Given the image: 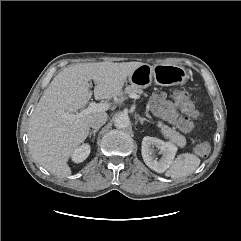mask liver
Masks as SVG:
<instances>
[{"mask_svg":"<svg viewBox=\"0 0 241 241\" xmlns=\"http://www.w3.org/2000/svg\"><path fill=\"white\" fill-rule=\"evenodd\" d=\"M142 62L80 63L63 69L49 84L29 120V150L36 163L58 177L71 174L68 160L89 134L95 112L69 119L85 107L92 96L89 80L95 83L96 100L120 96L127 78Z\"/></svg>","mask_w":241,"mask_h":241,"instance_id":"obj_1","label":"liver"}]
</instances>
